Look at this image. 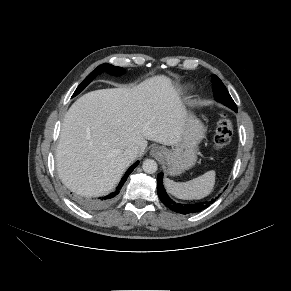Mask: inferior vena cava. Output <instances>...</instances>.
<instances>
[{
    "mask_svg": "<svg viewBox=\"0 0 291 291\" xmlns=\"http://www.w3.org/2000/svg\"><path fill=\"white\" fill-rule=\"evenodd\" d=\"M138 153H139V147L136 145L129 146L124 152L125 156L131 160L134 159Z\"/></svg>",
    "mask_w": 291,
    "mask_h": 291,
    "instance_id": "1",
    "label": "inferior vena cava"
}]
</instances>
